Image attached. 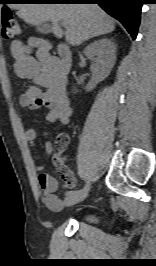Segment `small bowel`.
Masks as SVG:
<instances>
[{
	"instance_id": "1",
	"label": "small bowel",
	"mask_w": 156,
	"mask_h": 266,
	"mask_svg": "<svg viewBox=\"0 0 156 266\" xmlns=\"http://www.w3.org/2000/svg\"><path fill=\"white\" fill-rule=\"evenodd\" d=\"M37 47L35 54L30 51V46L20 40H15L10 45L13 57V67L16 75L20 78L30 79L34 86L27 89L20 96V105L28 109H48L46 118L50 122H59L67 125L70 121L71 107L66 93V83L62 81L56 72L55 59L45 49L46 45L33 41ZM48 136V132H44ZM25 139L31 147L36 146L37 130L30 128L25 133ZM45 152L52 155L58 171L67 188L72 189L76 185L73 173L64 165L60 159L61 147L54 148L50 141L45 142ZM37 164L38 184L42 190L43 202L52 211L63 208V201L56 195L58 189L57 180L43 172L44 166L40 163L38 155L34 156Z\"/></svg>"
}]
</instances>
